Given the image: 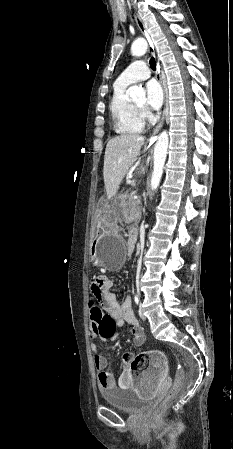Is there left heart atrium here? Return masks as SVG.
Masks as SVG:
<instances>
[{"label":"left heart atrium","mask_w":233,"mask_h":449,"mask_svg":"<svg viewBox=\"0 0 233 449\" xmlns=\"http://www.w3.org/2000/svg\"><path fill=\"white\" fill-rule=\"evenodd\" d=\"M147 104L150 109L158 110L163 103V90L160 84L151 80L146 85Z\"/></svg>","instance_id":"39dd6f15"}]
</instances>
